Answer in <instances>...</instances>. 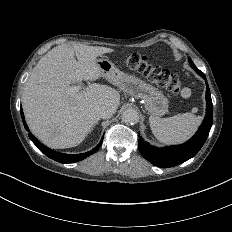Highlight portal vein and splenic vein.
Instances as JSON below:
<instances>
[{
	"label": "portal vein and splenic vein",
	"mask_w": 232,
	"mask_h": 232,
	"mask_svg": "<svg viewBox=\"0 0 232 232\" xmlns=\"http://www.w3.org/2000/svg\"><path fill=\"white\" fill-rule=\"evenodd\" d=\"M81 89H82V84H79L77 86H70L68 92L70 95H74L77 92H79Z\"/></svg>",
	"instance_id": "1"
}]
</instances>
